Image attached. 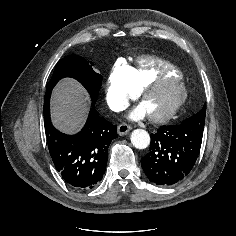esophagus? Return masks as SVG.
<instances>
[{"label":"esophagus","instance_id":"obj_1","mask_svg":"<svg viewBox=\"0 0 236 236\" xmlns=\"http://www.w3.org/2000/svg\"><path fill=\"white\" fill-rule=\"evenodd\" d=\"M132 127L126 123H122L118 126L117 132L120 136L128 134Z\"/></svg>","mask_w":236,"mask_h":236}]
</instances>
